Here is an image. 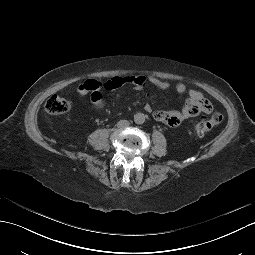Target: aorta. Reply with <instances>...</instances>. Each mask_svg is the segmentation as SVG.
<instances>
[{
  "label": "aorta",
  "mask_w": 255,
  "mask_h": 255,
  "mask_svg": "<svg viewBox=\"0 0 255 255\" xmlns=\"http://www.w3.org/2000/svg\"><path fill=\"white\" fill-rule=\"evenodd\" d=\"M145 121V116L142 113H137L134 115V122L136 124H143Z\"/></svg>",
  "instance_id": "obj_1"
}]
</instances>
